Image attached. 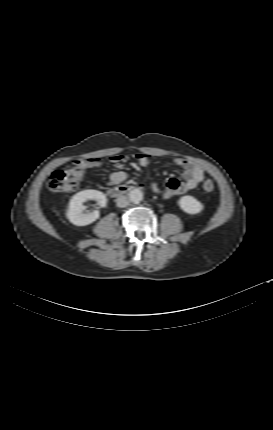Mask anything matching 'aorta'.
Here are the masks:
<instances>
[{"label":"aorta","mask_w":273,"mask_h":430,"mask_svg":"<svg viewBox=\"0 0 273 430\" xmlns=\"http://www.w3.org/2000/svg\"><path fill=\"white\" fill-rule=\"evenodd\" d=\"M128 198L133 204H139L143 200V192L139 188L129 191Z\"/></svg>","instance_id":"762f6f07"}]
</instances>
